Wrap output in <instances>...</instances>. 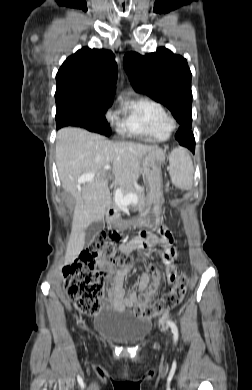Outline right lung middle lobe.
<instances>
[{
    "label": "right lung middle lobe",
    "instance_id": "right-lung-middle-lobe-1",
    "mask_svg": "<svg viewBox=\"0 0 252 390\" xmlns=\"http://www.w3.org/2000/svg\"><path fill=\"white\" fill-rule=\"evenodd\" d=\"M108 103L66 102L56 105V126H77L91 132L110 136L111 129L105 119L104 112Z\"/></svg>",
    "mask_w": 252,
    "mask_h": 390
}]
</instances>
